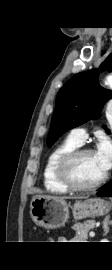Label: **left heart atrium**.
<instances>
[{"label":"left heart atrium","instance_id":"obj_1","mask_svg":"<svg viewBox=\"0 0 112 270\" xmlns=\"http://www.w3.org/2000/svg\"><path fill=\"white\" fill-rule=\"evenodd\" d=\"M94 153L102 171L107 173L112 167V144L107 139H103Z\"/></svg>","mask_w":112,"mask_h":270}]
</instances>
